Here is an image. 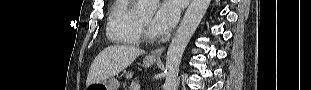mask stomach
<instances>
[{
  "instance_id": "0dacf381",
  "label": "stomach",
  "mask_w": 311,
  "mask_h": 90,
  "mask_svg": "<svg viewBox=\"0 0 311 90\" xmlns=\"http://www.w3.org/2000/svg\"><path fill=\"white\" fill-rule=\"evenodd\" d=\"M157 59L149 58L146 57L143 60V66L144 67H150L152 66ZM132 72H126V77L131 78L132 77ZM120 83L116 78H109L105 81L99 82V83H94L91 84L87 87V90H119Z\"/></svg>"
}]
</instances>
